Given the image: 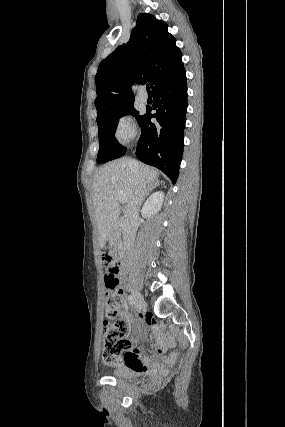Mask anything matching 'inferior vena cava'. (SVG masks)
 Masks as SVG:
<instances>
[{"label": "inferior vena cava", "mask_w": 285, "mask_h": 427, "mask_svg": "<svg viewBox=\"0 0 285 427\" xmlns=\"http://www.w3.org/2000/svg\"><path fill=\"white\" fill-rule=\"evenodd\" d=\"M135 184L136 187L134 192L124 211V243L127 249L131 248L134 244V235L138 225L139 211L146 192V186L142 175L137 169L135 172Z\"/></svg>", "instance_id": "1"}]
</instances>
